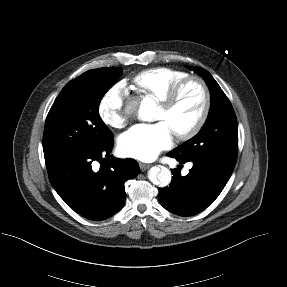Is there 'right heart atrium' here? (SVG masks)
I'll return each instance as SVG.
<instances>
[{"label":"right heart atrium","mask_w":287,"mask_h":287,"mask_svg":"<svg viewBox=\"0 0 287 287\" xmlns=\"http://www.w3.org/2000/svg\"><path fill=\"white\" fill-rule=\"evenodd\" d=\"M128 89L124 82H118L105 92L99 101L98 115L101 121L115 129L123 128L127 123L125 104Z\"/></svg>","instance_id":"right-heart-atrium-1"}]
</instances>
